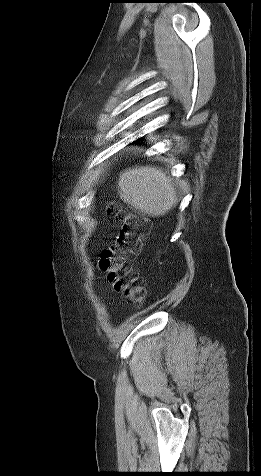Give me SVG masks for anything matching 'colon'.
<instances>
[{
  "label": "colon",
  "mask_w": 261,
  "mask_h": 476,
  "mask_svg": "<svg viewBox=\"0 0 261 476\" xmlns=\"http://www.w3.org/2000/svg\"><path fill=\"white\" fill-rule=\"evenodd\" d=\"M108 212L119 224V230L99 258V268L106 273L113 289L130 303L141 305L146 290L133 262L139 255L143 239L150 231L146 218L129 213L115 204H109Z\"/></svg>",
  "instance_id": "5ec220e1"
}]
</instances>
